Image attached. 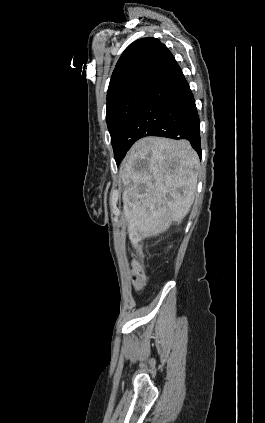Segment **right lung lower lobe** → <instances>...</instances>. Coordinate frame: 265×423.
<instances>
[{
	"instance_id": "98d812e1",
	"label": "right lung lower lobe",
	"mask_w": 265,
	"mask_h": 423,
	"mask_svg": "<svg viewBox=\"0 0 265 423\" xmlns=\"http://www.w3.org/2000/svg\"><path fill=\"white\" fill-rule=\"evenodd\" d=\"M161 136L186 139L201 157L200 121L195 100L181 68L174 61L125 126L123 152L140 138Z\"/></svg>"
}]
</instances>
